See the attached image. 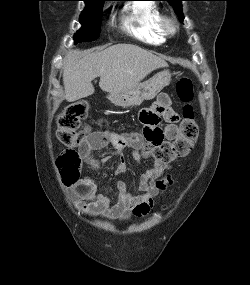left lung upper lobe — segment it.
Returning <instances> with one entry per match:
<instances>
[{"label":"left lung upper lobe","mask_w":250,"mask_h":285,"mask_svg":"<svg viewBox=\"0 0 250 285\" xmlns=\"http://www.w3.org/2000/svg\"><path fill=\"white\" fill-rule=\"evenodd\" d=\"M164 1H168L170 3V5L173 6V8L175 10V13L179 17L180 22H183L184 16H183V13H182L181 2L184 1V0H164Z\"/></svg>","instance_id":"left-lung-upper-lobe-1"}]
</instances>
